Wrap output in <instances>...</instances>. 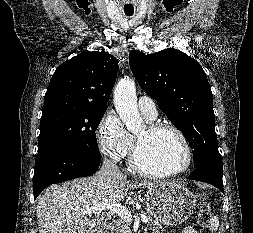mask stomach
Returning <instances> with one entry per match:
<instances>
[{
	"label": "stomach",
	"instance_id": "stomach-1",
	"mask_svg": "<svg viewBox=\"0 0 253 233\" xmlns=\"http://www.w3.org/2000/svg\"><path fill=\"white\" fill-rule=\"evenodd\" d=\"M146 206L149 213L167 226L186 221L196 207V196L183 184L170 182L148 190Z\"/></svg>",
	"mask_w": 253,
	"mask_h": 233
}]
</instances>
